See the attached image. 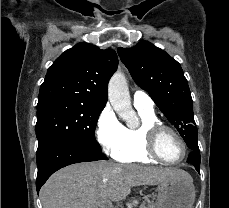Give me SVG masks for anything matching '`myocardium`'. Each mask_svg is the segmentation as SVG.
Wrapping results in <instances>:
<instances>
[{"mask_svg":"<svg viewBox=\"0 0 229 208\" xmlns=\"http://www.w3.org/2000/svg\"><path fill=\"white\" fill-rule=\"evenodd\" d=\"M164 131H170L171 138L175 139L174 141L175 143H178V147H185V154L181 159L163 160V157H160V152H157V139L161 138V135ZM146 136L148 138L149 143L146 144L147 148L145 149V152L150 153V158H158L160 161L166 164L176 165L184 162L189 155L190 147L187 140L174 127L165 125L163 123H154L146 128Z\"/></svg>","mask_w":229,"mask_h":208,"instance_id":"myocardium-1","label":"myocardium"}]
</instances>
